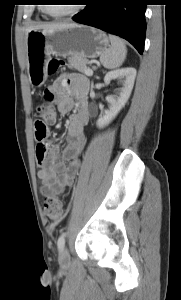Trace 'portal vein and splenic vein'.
Masks as SVG:
<instances>
[{"label":"portal vein and splenic vein","mask_w":181,"mask_h":300,"mask_svg":"<svg viewBox=\"0 0 181 300\" xmlns=\"http://www.w3.org/2000/svg\"><path fill=\"white\" fill-rule=\"evenodd\" d=\"M85 74L87 76H92L93 75V71L91 69H87L86 72H85Z\"/></svg>","instance_id":"obj_1"}]
</instances>
